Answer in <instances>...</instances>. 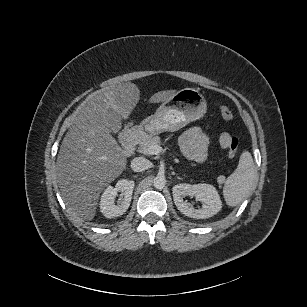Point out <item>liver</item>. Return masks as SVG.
Segmentation results:
<instances>
[{"label":"liver","mask_w":307,"mask_h":307,"mask_svg":"<svg viewBox=\"0 0 307 307\" xmlns=\"http://www.w3.org/2000/svg\"><path fill=\"white\" fill-rule=\"evenodd\" d=\"M174 90L154 94L151 102L168 99ZM139 99V89L125 82L90 94L80 105L63 139L56 162L57 182L70 209L92 219L99 192L125 168L123 151L110 131L121 126Z\"/></svg>","instance_id":"1"}]
</instances>
